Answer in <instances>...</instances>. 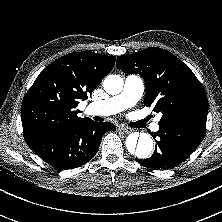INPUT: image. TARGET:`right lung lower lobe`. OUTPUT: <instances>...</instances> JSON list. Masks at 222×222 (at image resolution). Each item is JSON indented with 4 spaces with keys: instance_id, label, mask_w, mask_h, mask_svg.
I'll use <instances>...</instances> for the list:
<instances>
[{
    "instance_id": "right-lung-lower-lobe-1",
    "label": "right lung lower lobe",
    "mask_w": 222,
    "mask_h": 222,
    "mask_svg": "<svg viewBox=\"0 0 222 222\" xmlns=\"http://www.w3.org/2000/svg\"><path fill=\"white\" fill-rule=\"evenodd\" d=\"M115 129L113 123L89 119L66 130L45 131L24 138L40 158L66 170L90 161L99 149L103 134Z\"/></svg>"
}]
</instances>
